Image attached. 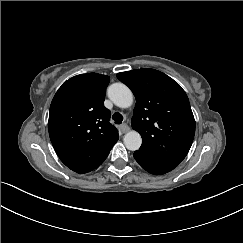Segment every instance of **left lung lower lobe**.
<instances>
[{"instance_id":"left-lung-lower-lobe-1","label":"left lung lower lobe","mask_w":243,"mask_h":243,"mask_svg":"<svg viewBox=\"0 0 243 243\" xmlns=\"http://www.w3.org/2000/svg\"><path fill=\"white\" fill-rule=\"evenodd\" d=\"M134 158L142 168L154 175H162L170 172L178 165L176 163L159 160L140 150L135 151Z\"/></svg>"}]
</instances>
